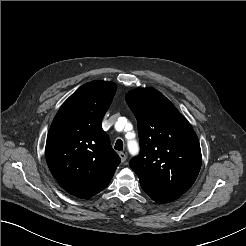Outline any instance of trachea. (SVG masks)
<instances>
[{
  "label": "trachea",
  "instance_id": "3493384b",
  "mask_svg": "<svg viewBox=\"0 0 246 246\" xmlns=\"http://www.w3.org/2000/svg\"><path fill=\"white\" fill-rule=\"evenodd\" d=\"M114 149L119 150V151L123 150V142H122V140L118 139L116 141Z\"/></svg>",
  "mask_w": 246,
  "mask_h": 246
}]
</instances>
